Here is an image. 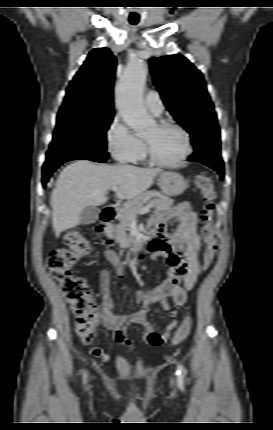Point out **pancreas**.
<instances>
[{
  "instance_id": "cf45deb5",
  "label": "pancreas",
  "mask_w": 273,
  "mask_h": 430,
  "mask_svg": "<svg viewBox=\"0 0 273 430\" xmlns=\"http://www.w3.org/2000/svg\"><path fill=\"white\" fill-rule=\"evenodd\" d=\"M151 197H156L151 201L152 207L160 210H167L173 205V200L169 197L162 195L157 190H150L142 193L133 201L124 204L123 209L119 213V225H112L108 227L110 233L116 242L120 245H126L130 242V236L126 233L131 222L136 219L139 211L144 208V204L149 201Z\"/></svg>"
}]
</instances>
